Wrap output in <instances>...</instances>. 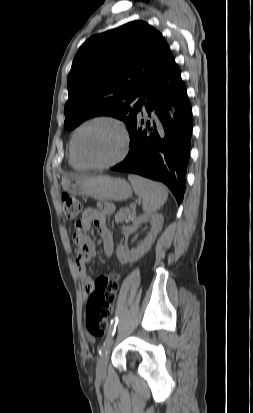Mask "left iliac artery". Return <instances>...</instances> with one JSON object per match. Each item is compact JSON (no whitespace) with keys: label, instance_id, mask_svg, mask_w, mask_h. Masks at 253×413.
Masks as SVG:
<instances>
[{"label":"left iliac artery","instance_id":"1","mask_svg":"<svg viewBox=\"0 0 253 413\" xmlns=\"http://www.w3.org/2000/svg\"><path fill=\"white\" fill-rule=\"evenodd\" d=\"M117 324H118V318L115 317V318H113V319L111 320V325H110V328H109L107 337H106V339H105V342H104L101 350L99 351V354H100V355L103 354V353L105 352V350H106L108 347L111 346L112 340H113V337H114V334H115V331H116V326H117Z\"/></svg>","mask_w":253,"mask_h":413}]
</instances>
